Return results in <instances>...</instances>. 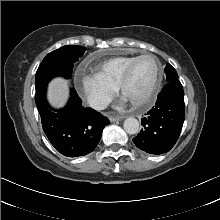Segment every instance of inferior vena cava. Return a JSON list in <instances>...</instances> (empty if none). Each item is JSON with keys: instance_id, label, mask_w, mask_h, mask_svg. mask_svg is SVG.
<instances>
[{"instance_id": "602c4592", "label": "inferior vena cava", "mask_w": 220, "mask_h": 220, "mask_svg": "<svg viewBox=\"0 0 220 220\" xmlns=\"http://www.w3.org/2000/svg\"><path fill=\"white\" fill-rule=\"evenodd\" d=\"M88 102H89V105L95 110H103L109 104L108 100L103 97H92L89 99Z\"/></svg>"}]
</instances>
